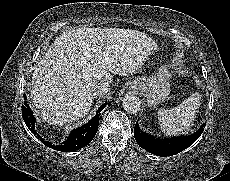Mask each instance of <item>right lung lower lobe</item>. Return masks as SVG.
Returning <instances> with one entry per match:
<instances>
[{
    "label": "right lung lower lobe",
    "instance_id": "1",
    "mask_svg": "<svg viewBox=\"0 0 230 181\" xmlns=\"http://www.w3.org/2000/svg\"><path fill=\"white\" fill-rule=\"evenodd\" d=\"M24 99H26L25 95H24ZM104 108H105V104L101 105L97 110L96 115L87 124L77 128L76 130H73L70 133L68 139L59 145H52L50 142L44 140L40 135L37 134L34 126L35 118L26 102H24V105H22V116L29 130L33 134L37 135L38 139H40V141L43 144H45L47 147L62 152H73L85 147L94 138L98 130L99 119H100L99 117L101 115L100 112Z\"/></svg>",
    "mask_w": 230,
    "mask_h": 181
}]
</instances>
